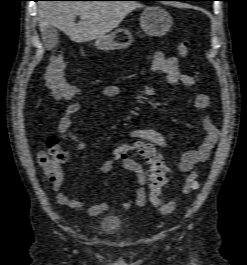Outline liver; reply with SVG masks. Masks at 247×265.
<instances>
[{
  "instance_id": "liver-1",
  "label": "liver",
  "mask_w": 247,
  "mask_h": 265,
  "mask_svg": "<svg viewBox=\"0 0 247 265\" xmlns=\"http://www.w3.org/2000/svg\"><path fill=\"white\" fill-rule=\"evenodd\" d=\"M140 7V3L133 1H41L37 5V20L41 31L54 26L72 41L83 43L106 36Z\"/></svg>"
}]
</instances>
